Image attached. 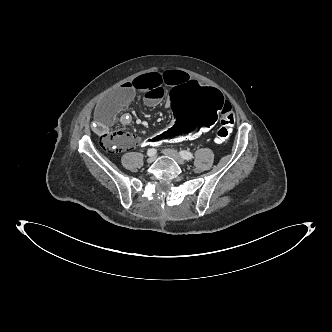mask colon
I'll return each instance as SVG.
<instances>
[{
	"label": "colon",
	"instance_id": "5ec220e1",
	"mask_svg": "<svg viewBox=\"0 0 332 332\" xmlns=\"http://www.w3.org/2000/svg\"><path fill=\"white\" fill-rule=\"evenodd\" d=\"M219 117L221 125L215 143L221 145L228 140L235 123V115L224 93L212 85L184 83L169 92L168 120L171 127L154 133L148 140L140 139L139 145L149 147L162 141L199 138L216 124ZM95 129L100 133L101 145L107 151L117 153L124 146L121 136L110 130L108 125L96 124Z\"/></svg>",
	"mask_w": 332,
	"mask_h": 332
}]
</instances>
